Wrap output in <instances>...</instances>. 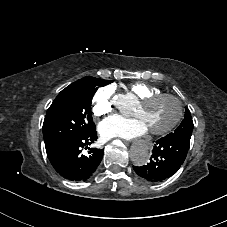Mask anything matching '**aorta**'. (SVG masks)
I'll return each instance as SVG.
<instances>
[{"instance_id":"762f6f07","label":"aorta","mask_w":227,"mask_h":227,"mask_svg":"<svg viewBox=\"0 0 227 227\" xmlns=\"http://www.w3.org/2000/svg\"><path fill=\"white\" fill-rule=\"evenodd\" d=\"M130 158L136 166H143L149 160V149L146 144L140 143L132 147Z\"/></svg>"}]
</instances>
